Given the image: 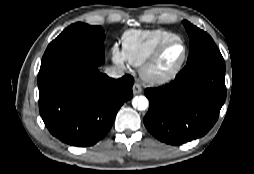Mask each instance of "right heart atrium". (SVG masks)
Instances as JSON below:
<instances>
[{"label":"right heart atrium","mask_w":254,"mask_h":174,"mask_svg":"<svg viewBox=\"0 0 254 174\" xmlns=\"http://www.w3.org/2000/svg\"><path fill=\"white\" fill-rule=\"evenodd\" d=\"M110 54H111L112 60L116 64H118V65H125L126 64L127 61H126L125 55L123 53V50L120 49L117 44H114L111 47Z\"/></svg>","instance_id":"right-heart-atrium-1"}]
</instances>
